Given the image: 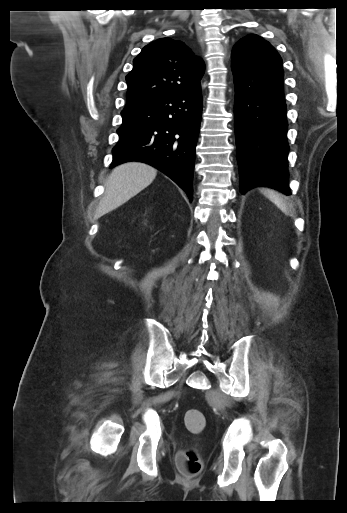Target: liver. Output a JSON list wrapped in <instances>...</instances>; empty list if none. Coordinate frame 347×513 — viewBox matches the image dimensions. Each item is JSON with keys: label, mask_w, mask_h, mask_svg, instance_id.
Segmentation results:
<instances>
[{"label": "liver", "mask_w": 347, "mask_h": 513, "mask_svg": "<svg viewBox=\"0 0 347 513\" xmlns=\"http://www.w3.org/2000/svg\"><path fill=\"white\" fill-rule=\"evenodd\" d=\"M157 170L142 162H127L113 169L107 183L104 198L96 216L115 210L148 187L155 179Z\"/></svg>", "instance_id": "obj_1"}]
</instances>
